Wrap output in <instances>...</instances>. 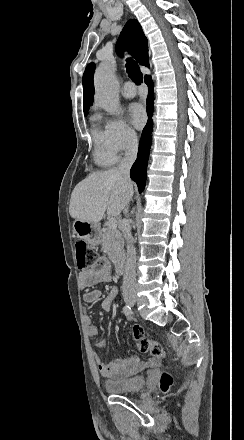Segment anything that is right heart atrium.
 <instances>
[{
	"label": "right heart atrium",
	"mask_w": 244,
	"mask_h": 440,
	"mask_svg": "<svg viewBox=\"0 0 244 440\" xmlns=\"http://www.w3.org/2000/svg\"><path fill=\"white\" fill-rule=\"evenodd\" d=\"M105 144L109 151L118 153L135 145L137 134L120 118H107L104 122Z\"/></svg>",
	"instance_id": "obj_1"
}]
</instances>
